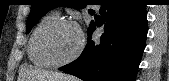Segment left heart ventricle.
I'll use <instances>...</instances> for the list:
<instances>
[{
	"mask_svg": "<svg viewBox=\"0 0 169 81\" xmlns=\"http://www.w3.org/2000/svg\"><path fill=\"white\" fill-rule=\"evenodd\" d=\"M80 44L78 30L72 26H63L52 35L49 48L55 59L65 60L73 55Z\"/></svg>",
	"mask_w": 169,
	"mask_h": 81,
	"instance_id": "obj_1",
	"label": "left heart ventricle"
}]
</instances>
